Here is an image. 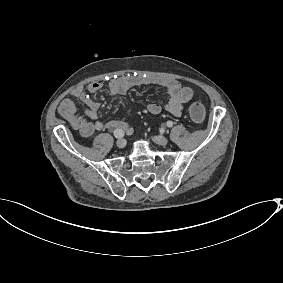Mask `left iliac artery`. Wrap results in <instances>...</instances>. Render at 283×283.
<instances>
[{
    "label": "left iliac artery",
    "mask_w": 283,
    "mask_h": 283,
    "mask_svg": "<svg viewBox=\"0 0 283 283\" xmlns=\"http://www.w3.org/2000/svg\"><path fill=\"white\" fill-rule=\"evenodd\" d=\"M167 126H168L169 128H171V127L173 126V122H172V121H167Z\"/></svg>",
    "instance_id": "obj_1"
}]
</instances>
